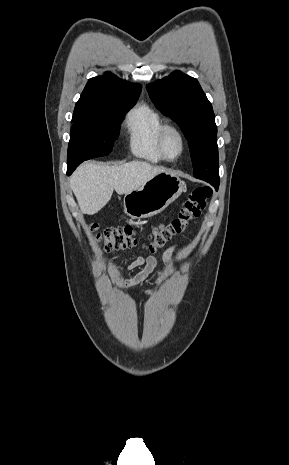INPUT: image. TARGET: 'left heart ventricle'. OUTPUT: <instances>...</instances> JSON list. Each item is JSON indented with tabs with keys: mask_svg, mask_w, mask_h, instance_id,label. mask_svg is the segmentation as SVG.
<instances>
[{
	"mask_svg": "<svg viewBox=\"0 0 289 465\" xmlns=\"http://www.w3.org/2000/svg\"><path fill=\"white\" fill-rule=\"evenodd\" d=\"M167 153L169 156L174 157L180 151V141L175 134H170L166 144Z\"/></svg>",
	"mask_w": 289,
	"mask_h": 465,
	"instance_id": "obj_1",
	"label": "left heart ventricle"
}]
</instances>
